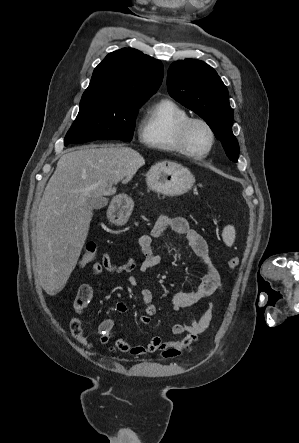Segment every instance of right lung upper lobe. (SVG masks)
<instances>
[{"mask_svg":"<svg viewBox=\"0 0 299 443\" xmlns=\"http://www.w3.org/2000/svg\"><path fill=\"white\" fill-rule=\"evenodd\" d=\"M163 65L142 52L123 48L108 54L95 68L83 96L147 101L163 79Z\"/></svg>","mask_w":299,"mask_h":443,"instance_id":"1","label":"right lung upper lobe"}]
</instances>
